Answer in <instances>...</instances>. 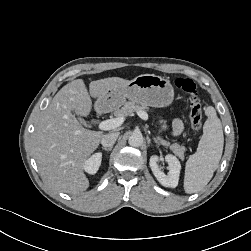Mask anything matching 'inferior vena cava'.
Masks as SVG:
<instances>
[{"label":"inferior vena cava","mask_w":251,"mask_h":251,"mask_svg":"<svg viewBox=\"0 0 251 251\" xmlns=\"http://www.w3.org/2000/svg\"><path fill=\"white\" fill-rule=\"evenodd\" d=\"M118 136H119L118 132L105 134L101 138V144L106 148L112 147L116 142Z\"/></svg>","instance_id":"inferior-vena-cava-1"}]
</instances>
